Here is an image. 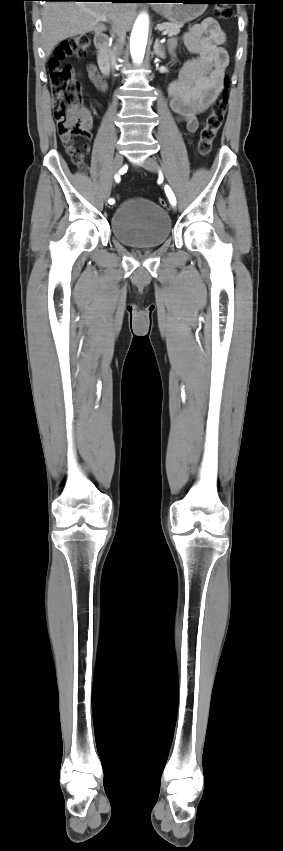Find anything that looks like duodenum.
<instances>
[{
  "mask_svg": "<svg viewBox=\"0 0 283 851\" xmlns=\"http://www.w3.org/2000/svg\"><path fill=\"white\" fill-rule=\"evenodd\" d=\"M110 39L105 34H99L95 38V47L97 50V60L101 72L104 76H107L110 73L109 68V60H108V48H109Z\"/></svg>",
  "mask_w": 283,
  "mask_h": 851,
  "instance_id": "410a0bca",
  "label": "duodenum"
}]
</instances>
